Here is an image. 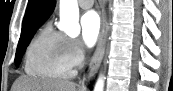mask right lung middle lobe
Listing matches in <instances>:
<instances>
[{"instance_id":"right-lung-middle-lobe-1","label":"right lung middle lobe","mask_w":173,"mask_h":91,"mask_svg":"<svg viewBox=\"0 0 173 91\" xmlns=\"http://www.w3.org/2000/svg\"><path fill=\"white\" fill-rule=\"evenodd\" d=\"M39 28L36 27L30 31L27 32H21V36H20V40L18 43V47L16 50V56H15V63L18 66V64L20 63L22 56L25 52L26 47L28 46V44L30 43V40L32 39L33 35L35 34L36 30Z\"/></svg>"}]
</instances>
